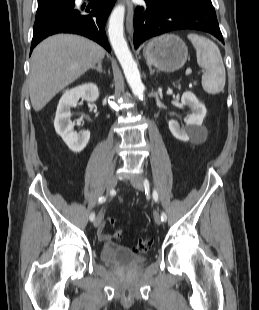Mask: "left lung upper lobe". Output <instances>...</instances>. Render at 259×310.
<instances>
[{
    "label": "left lung upper lobe",
    "mask_w": 259,
    "mask_h": 310,
    "mask_svg": "<svg viewBox=\"0 0 259 310\" xmlns=\"http://www.w3.org/2000/svg\"><path fill=\"white\" fill-rule=\"evenodd\" d=\"M161 1H168L171 3H182V2L193 1V0H161ZM206 1H210V0H206Z\"/></svg>",
    "instance_id": "left-lung-upper-lobe-1"
}]
</instances>
